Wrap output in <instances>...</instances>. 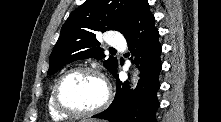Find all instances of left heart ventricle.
I'll return each mask as SVG.
<instances>
[{"instance_id": "obj_1", "label": "left heart ventricle", "mask_w": 221, "mask_h": 122, "mask_svg": "<svg viewBox=\"0 0 221 122\" xmlns=\"http://www.w3.org/2000/svg\"><path fill=\"white\" fill-rule=\"evenodd\" d=\"M105 96L103 82L88 73L75 74L61 88L62 102L76 110H89L98 106Z\"/></svg>"}]
</instances>
